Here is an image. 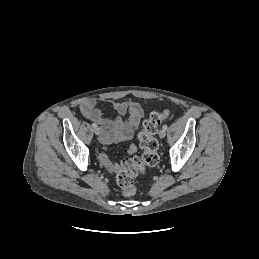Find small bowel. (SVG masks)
Segmentation results:
<instances>
[{"mask_svg": "<svg viewBox=\"0 0 259 259\" xmlns=\"http://www.w3.org/2000/svg\"><path fill=\"white\" fill-rule=\"evenodd\" d=\"M112 106L119 115H124L126 113L130 114L129 128L127 130L124 129L123 124L119 119L112 120L105 117L102 111L97 107V101L95 99H86L80 104L82 115L89 120L97 122L100 126V140L103 145H109L114 141L132 138L144 115L142 107L137 102H112ZM135 151V145H131L128 148L129 154H132ZM99 159L109 172H116L118 165L112 162L104 152L100 154Z\"/></svg>", "mask_w": 259, "mask_h": 259, "instance_id": "small-bowel-1", "label": "small bowel"}]
</instances>
